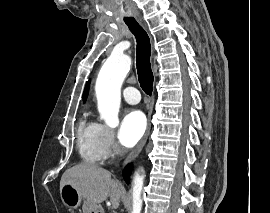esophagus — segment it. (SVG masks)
<instances>
[{"mask_svg":"<svg viewBox=\"0 0 270 213\" xmlns=\"http://www.w3.org/2000/svg\"><path fill=\"white\" fill-rule=\"evenodd\" d=\"M152 109L150 110L151 113ZM150 129H151V123H150V116H149V120H148V125H147V129L146 132L142 138V140L140 141V143L138 144V146L135 148V150H133L128 156L127 158L124 160L122 167L124 168L127 164L131 163L132 161L135 160V158L139 155V153L142 151L147 138L149 136L150 133Z\"/></svg>","mask_w":270,"mask_h":213,"instance_id":"1","label":"esophagus"}]
</instances>
